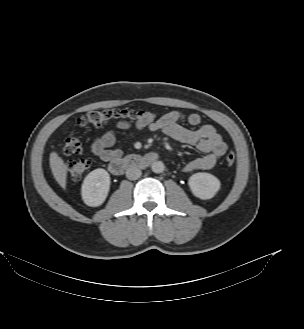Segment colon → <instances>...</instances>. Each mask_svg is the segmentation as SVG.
<instances>
[{
  "label": "colon",
  "instance_id": "obj_1",
  "mask_svg": "<svg viewBox=\"0 0 304 329\" xmlns=\"http://www.w3.org/2000/svg\"><path fill=\"white\" fill-rule=\"evenodd\" d=\"M156 119L154 113L136 110H116L106 109L90 111L78 119V125L82 128L103 127L109 124L129 123V124H150ZM82 150L81 142L75 137H68L64 140L63 151L68 154H78ZM225 162L232 165L235 162V153L233 150H227ZM90 167V161L82 158L73 161L68 166V178L70 180H79Z\"/></svg>",
  "mask_w": 304,
  "mask_h": 329
}]
</instances>
